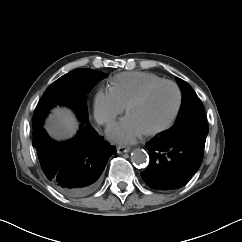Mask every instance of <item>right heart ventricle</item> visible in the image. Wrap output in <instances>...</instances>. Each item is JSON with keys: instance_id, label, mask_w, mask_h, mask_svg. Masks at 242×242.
Returning a JSON list of instances; mask_svg holds the SVG:
<instances>
[{"instance_id": "right-heart-ventricle-1", "label": "right heart ventricle", "mask_w": 242, "mask_h": 242, "mask_svg": "<svg viewBox=\"0 0 242 242\" xmlns=\"http://www.w3.org/2000/svg\"><path fill=\"white\" fill-rule=\"evenodd\" d=\"M160 80L163 79L153 73L141 71L123 72L110 80V90L124 106H127L144 88Z\"/></svg>"}]
</instances>
